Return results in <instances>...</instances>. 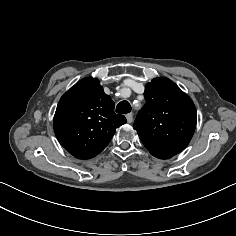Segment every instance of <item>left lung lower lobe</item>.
I'll use <instances>...</instances> for the list:
<instances>
[{"mask_svg":"<svg viewBox=\"0 0 236 236\" xmlns=\"http://www.w3.org/2000/svg\"><path fill=\"white\" fill-rule=\"evenodd\" d=\"M160 159H168V158H165V157H161Z\"/></svg>","mask_w":236,"mask_h":236,"instance_id":"1","label":"left lung lower lobe"}]
</instances>
